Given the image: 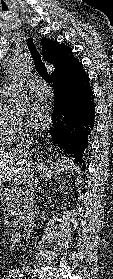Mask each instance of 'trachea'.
Returning <instances> with one entry per match:
<instances>
[{"label": "trachea", "mask_w": 113, "mask_h": 279, "mask_svg": "<svg viewBox=\"0 0 113 279\" xmlns=\"http://www.w3.org/2000/svg\"><path fill=\"white\" fill-rule=\"evenodd\" d=\"M27 42V46H28V49L31 53V56L33 58V61H34V64H35V68H36V71L38 72V74L44 79L46 80L47 82H51V78L48 74V71L45 67V64L41 58V55L40 53L38 52L37 50V47L34 43V40L33 38H27L26 40Z\"/></svg>", "instance_id": "1"}]
</instances>
